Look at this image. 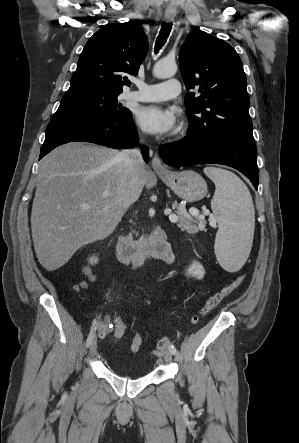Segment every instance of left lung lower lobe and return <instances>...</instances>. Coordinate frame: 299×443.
Listing matches in <instances>:
<instances>
[{
    "instance_id": "1",
    "label": "left lung lower lobe",
    "mask_w": 299,
    "mask_h": 443,
    "mask_svg": "<svg viewBox=\"0 0 299 443\" xmlns=\"http://www.w3.org/2000/svg\"><path fill=\"white\" fill-rule=\"evenodd\" d=\"M163 162L170 166L222 164L243 173L258 187L257 148L253 138L184 139L159 147Z\"/></svg>"
}]
</instances>
